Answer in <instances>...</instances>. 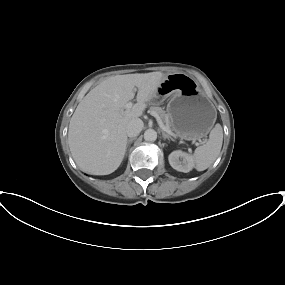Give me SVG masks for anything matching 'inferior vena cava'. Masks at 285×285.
<instances>
[{
    "label": "inferior vena cava",
    "instance_id": "1",
    "mask_svg": "<svg viewBox=\"0 0 285 285\" xmlns=\"http://www.w3.org/2000/svg\"><path fill=\"white\" fill-rule=\"evenodd\" d=\"M143 121L139 118L132 119L126 126V133L128 137H136L143 128Z\"/></svg>",
    "mask_w": 285,
    "mask_h": 285
}]
</instances>
